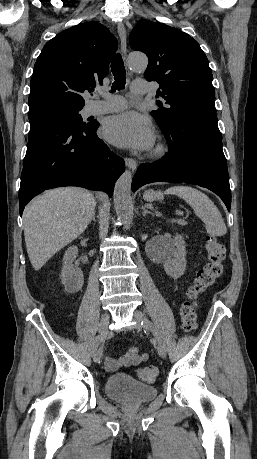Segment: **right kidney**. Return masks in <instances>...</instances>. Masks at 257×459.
Returning a JSON list of instances; mask_svg holds the SVG:
<instances>
[{
	"label": "right kidney",
	"mask_w": 257,
	"mask_h": 459,
	"mask_svg": "<svg viewBox=\"0 0 257 459\" xmlns=\"http://www.w3.org/2000/svg\"><path fill=\"white\" fill-rule=\"evenodd\" d=\"M77 255L78 248L76 246H71L67 249L63 257V267L60 276L65 291L71 294L78 292L84 282L82 271L73 265V261Z\"/></svg>",
	"instance_id": "obj_1"
}]
</instances>
